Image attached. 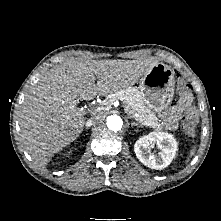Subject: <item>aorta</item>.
I'll return each instance as SVG.
<instances>
[{
  "label": "aorta",
  "mask_w": 221,
  "mask_h": 221,
  "mask_svg": "<svg viewBox=\"0 0 221 221\" xmlns=\"http://www.w3.org/2000/svg\"><path fill=\"white\" fill-rule=\"evenodd\" d=\"M107 127L112 131H118L122 128L123 121L118 115L108 116L106 119Z\"/></svg>",
  "instance_id": "aorta-1"
}]
</instances>
